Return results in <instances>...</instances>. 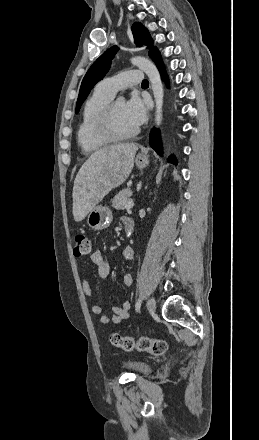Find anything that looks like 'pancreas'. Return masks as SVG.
I'll return each mask as SVG.
<instances>
[{"mask_svg": "<svg viewBox=\"0 0 259 440\" xmlns=\"http://www.w3.org/2000/svg\"><path fill=\"white\" fill-rule=\"evenodd\" d=\"M132 192L130 189H124L120 191L118 194L115 195L114 199L112 200V206L116 210H123L126 203L130 200L129 197L131 196Z\"/></svg>", "mask_w": 259, "mask_h": 440, "instance_id": "pancreas-1", "label": "pancreas"}]
</instances>
